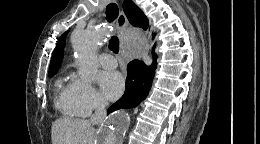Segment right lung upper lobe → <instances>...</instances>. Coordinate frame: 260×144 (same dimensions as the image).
Masks as SVG:
<instances>
[{"label": "right lung upper lobe", "instance_id": "right-lung-upper-lobe-1", "mask_svg": "<svg viewBox=\"0 0 260 144\" xmlns=\"http://www.w3.org/2000/svg\"><path fill=\"white\" fill-rule=\"evenodd\" d=\"M123 10L128 18L129 22L133 26H138L143 28L144 30H147L149 22L144 13L141 11V9L132 1V0H124L123 2ZM68 31L63 33L58 40V43L54 49V52L52 54L49 72L52 71H58V68L60 67L61 61L63 59V49L65 47V38ZM154 37V36H153Z\"/></svg>", "mask_w": 260, "mask_h": 144}]
</instances>
